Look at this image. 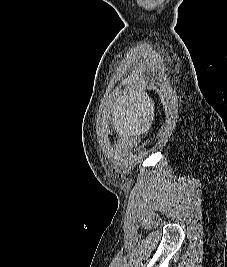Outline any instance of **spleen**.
<instances>
[{"label": "spleen", "mask_w": 227, "mask_h": 267, "mask_svg": "<svg viewBox=\"0 0 227 267\" xmlns=\"http://www.w3.org/2000/svg\"><path fill=\"white\" fill-rule=\"evenodd\" d=\"M130 96L125 97V103L141 105L145 97H141L137 90L130 88ZM148 103V102H146ZM116 115H153V110H140V106H116ZM117 124H108V129H116L115 133L127 140H138L144 129H150L154 116H115Z\"/></svg>", "instance_id": "spleen-1"}]
</instances>
